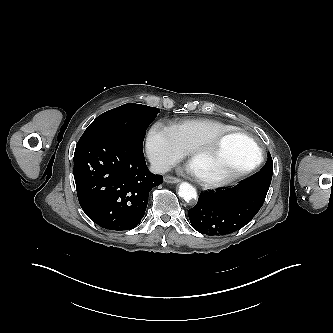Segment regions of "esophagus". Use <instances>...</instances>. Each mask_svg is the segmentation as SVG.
Listing matches in <instances>:
<instances>
[{"label": "esophagus", "mask_w": 333, "mask_h": 333, "mask_svg": "<svg viewBox=\"0 0 333 333\" xmlns=\"http://www.w3.org/2000/svg\"><path fill=\"white\" fill-rule=\"evenodd\" d=\"M164 181L166 183H172L173 184V183H179L181 180L177 177L167 175V176L164 177Z\"/></svg>", "instance_id": "34e87169"}]
</instances>
